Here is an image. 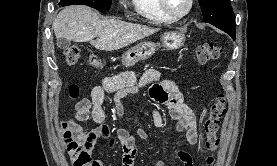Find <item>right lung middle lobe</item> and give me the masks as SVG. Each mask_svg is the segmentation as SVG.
<instances>
[{
  "label": "right lung middle lobe",
  "instance_id": "obj_1",
  "mask_svg": "<svg viewBox=\"0 0 277 166\" xmlns=\"http://www.w3.org/2000/svg\"><path fill=\"white\" fill-rule=\"evenodd\" d=\"M112 0H61L59 5L67 6L74 4L87 5L94 9L107 11L111 6Z\"/></svg>",
  "mask_w": 277,
  "mask_h": 166
}]
</instances>
